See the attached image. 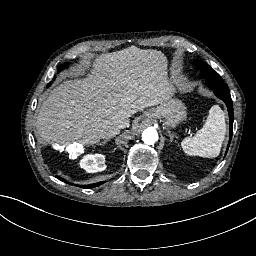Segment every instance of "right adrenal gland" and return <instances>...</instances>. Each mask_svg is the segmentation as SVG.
Wrapping results in <instances>:
<instances>
[{"label":"right adrenal gland","mask_w":256,"mask_h":256,"mask_svg":"<svg viewBox=\"0 0 256 256\" xmlns=\"http://www.w3.org/2000/svg\"><path fill=\"white\" fill-rule=\"evenodd\" d=\"M108 142V139L107 140H104V141H102V142H100V143H98L97 145H104V144H106Z\"/></svg>","instance_id":"1"}]
</instances>
